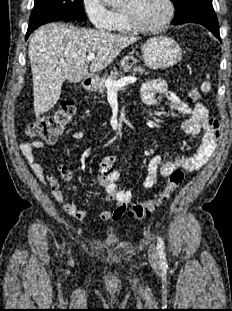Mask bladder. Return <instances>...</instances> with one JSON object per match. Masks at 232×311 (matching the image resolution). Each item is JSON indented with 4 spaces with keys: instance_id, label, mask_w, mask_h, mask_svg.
I'll return each instance as SVG.
<instances>
[{
    "instance_id": "bladder-1",
    "label": "bladder",
    "mask_w": 232,
    "mask_h": 311,
    "mask_svg": "<svg viewBox=\"0 0 232 311\" xmlns=\"http://www.w3.org/2000/svg\"><path fill=\"white\" fill-rule=\"evenodd\" d=\"M119 242V238L117 235L113 234V235H110L108 236L106 239H105V243L108 245V246H113L115 244H117Z\"/></svg>"
}]
</instances>
